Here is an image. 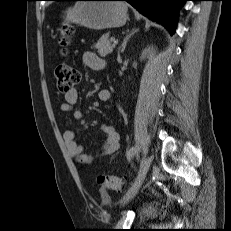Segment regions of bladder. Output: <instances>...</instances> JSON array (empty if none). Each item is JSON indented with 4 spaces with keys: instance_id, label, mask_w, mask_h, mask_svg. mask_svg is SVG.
Segmentation results:
<instances>
[{
    "instance_id": "bladder-1",
    "label": "bladder",
    "mask_w": 231,
    "mask_h": 231,
    "mask_svg": "<svg viewBox=\"0 0 231 231\" xmlns=\"http://www.w3.org/2000/svg\"><path fill=\"white\" fill-rule=\"evenodd\" d=\"M153 213V210L151 207L149 206H146L141 212H140V215L141 216H149Z\"/></svg>"
}]
</instances>
